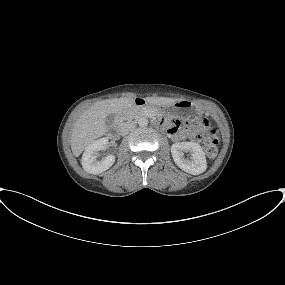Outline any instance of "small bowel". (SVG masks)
Listing matches in <instances>:
<instances>
[{
	"label": "small bowel",
	"mask_w": 285,
	"mask_h": 285,
	"mask_svg": "<svg viewBox=\"0 0 285 285\" xmlns=\"http://www.w3.org/2000/svg\"><path fill=\"white\" fill-rule=\"evenodd\" d=\"M168 131L173 139L181 140L186 137L185 133L183 131L178 130L176 127L171 126L169 127Z\"/></svg>",
	"instance_id": "c3829d8e"
}]
</instances>
